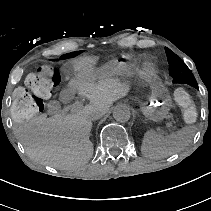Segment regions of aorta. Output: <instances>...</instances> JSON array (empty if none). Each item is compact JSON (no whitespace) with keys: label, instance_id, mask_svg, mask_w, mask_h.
<instances>
[{"label":"aorta","instance_id":"aorta-1","mask_svg":"<svg viewBox=\"0 0 211 211\" xmlns=\"http://www.w3.org/2000/svg\"><path fill=\"white\" fill-rule=\"evenodd\" d=\"M112 114L114 119L118 122H127L131 117L130 108L126 104L116 105Z\"/></svg>","mask_w":211,"mask_h":211}]
</instances>
